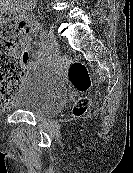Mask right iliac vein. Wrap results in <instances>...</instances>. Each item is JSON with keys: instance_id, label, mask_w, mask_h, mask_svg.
Wrapping results in <instances>:
<instances>
[{"instance_id": "63e3f726", "label": "right iliac vein", "mask_w": 133, "mask_h": 173, "mask_svg": "<svg viewBox=\"0 0 133 173\" xmlns=\"http://www.w3.org/2000/svg\"><path fill=\"white\" fill-rule=\"evenodd\" d=\"M47 41L49 43L46 47V51L48 53H52L57 47V41H56L55 35L53 34L51 30H49L47 33Z\"/></svg>"}]
</instances>
